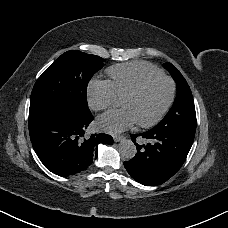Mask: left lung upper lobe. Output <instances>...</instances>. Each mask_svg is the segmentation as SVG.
I'll use <instances>...</instances> for the list:
<instances>
[{
	"label": "left lung upper lobe",
	"instance_id": "5c2ea615",
	"mask_svg": "<svg viewBox=\"0 0 228 228\" xmlns=\"http://www.w3.org/2000/svg\"><path fill=\"white\" fill-rule=\"evenodd\" d=\"M164 67L171 73L177 86L173 106L166 116L155 126L167 130L196 131V112L191 90L182 74L169 62Z\"/></svg>",
	"mask_w": 228,
	"mask_h": 228
}]
</instances>
